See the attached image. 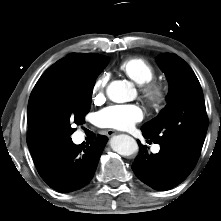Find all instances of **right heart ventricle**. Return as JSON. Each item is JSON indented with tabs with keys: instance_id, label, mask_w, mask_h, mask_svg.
I'll list each match as a JSON object with an SVG mask.
<instances>
[{
	"instance_id": "right-heart-ventricle-1",
	"label": "right heart ventricle",
	"mask_w": 221,
	"mask_h": 221,
	"mask_svg": "<svg viewBox=\"0 0 221 221\" xmlns=\"http://www.w3.org/2000/svg\"><path fill=\"white\" fill-rule=\"evenodd\" d=\"M120 69L140 86L151 82L156 76L155 67L142 57H133L123 61Z\"/></svg>"
}]
</instances>
